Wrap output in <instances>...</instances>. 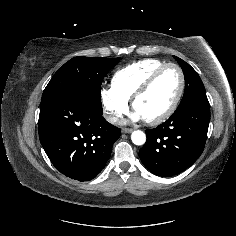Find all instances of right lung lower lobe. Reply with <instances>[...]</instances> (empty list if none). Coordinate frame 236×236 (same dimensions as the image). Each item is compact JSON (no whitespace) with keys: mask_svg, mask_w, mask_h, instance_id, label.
<instances>
[{"mask_svg":"<svg viewBox=\"0 0 236 236\" xmlns=\"http://www.w3.org/2000/svg\"><path fill=\"white\" fill-rule=\"evenodd\" d=\"M102 114V107L75 95L57 96L41 104L39 139L62 174L89 181L104 168L121 130Z\"/></svg>","mask_w":236,"mask_h":236,"instance_id":"obj_1","label":"right lung lower lobe"}]
</instances>
